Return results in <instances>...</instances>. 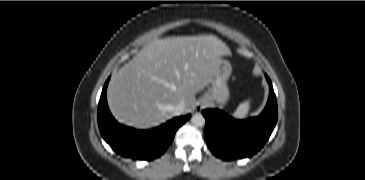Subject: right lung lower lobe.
<instances>
[{"label":"right lung lower lobe","mask_w":365,"mask_h":180,"mask_svg":"<svg viewBox=\"0 0 365 180\" xmlns=\"http://www.w3.org/2000/svg\"><path fill=\"white\" fill-rule=\"evenodd\" d=\"M106 81L98 105V126L103 139L123 157L134 160H152L162 155L177 129L191 115L174 118L167 123L149 130H137L117 123L110 113L106 98Z\"/></svg>","instance_id":"obj_1"}]
</instances>
